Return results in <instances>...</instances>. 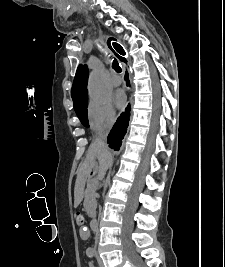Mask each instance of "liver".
<instances>
[{
	"mask_svg": "<svg viewBox=\"0 0 225 267\" xmlns=\"http://www.w3.org/2000/svg\"><path fill=\"white\" fill-rule=\"evenodd\" d=\"M98 159L99 165L95 164V159ZM112 161V156L108 151L103 150L96 142H93L87 151L85 161L79 166L77 180L74 191V206L77 207L84 195L85 179L90 175L92 169L98 174L101 179Z\"/></svg>",
	"mask_w": 225,
	"mask_h": 267,
	"instance_id": "obj_1",
	"label": "liver"
}]
</instances>
